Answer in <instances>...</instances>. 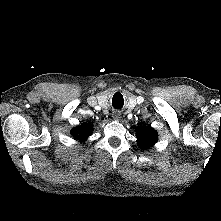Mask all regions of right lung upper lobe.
Wrapping results in <instances>:
<instances>
[{"label": "right lung upper lobe", "mask_w": 221, "mask_h": 221, "mask_svg": "<svg viewBox=\"0 0 221 221\" xmlns=\"http://www.w3.org/2000/svg\"><path fill=\"white\" fill-rule=\"evenodd\" d=\"M93 128L90 124H83L81 126H77L71 131V134L78 140L84 141L86 140L92 133Z\"/></svg>", "instance_id": "right-lung-upper-lobe-1"}]
</instances>
